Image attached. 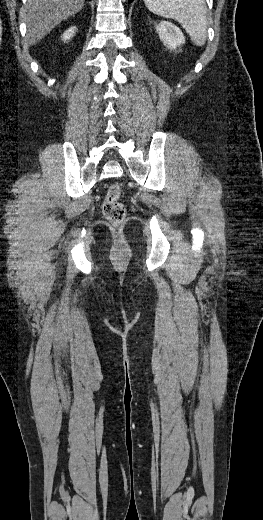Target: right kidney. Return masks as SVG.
Returning <instances> with one entry per match:
<instances>
[{
  "label": "right kidney",
  "mask_w": 263,
  "mask_h": 520,
  "mask_svg": "<svg viewBox=\"0 0 263 520\" xmlns=\"http://www.w3.org/2000/svg\"><path fill=\"white\" fill-rule=\"evenodd\" d=\"M76 31H77V28H76V27H71V28L67 29V30L63 33V35H62V40H63V41L70 40V39L74 36V34L76 33Z\"/></svg>",
  "instance_id": "obj_1"
}]
</instances>
